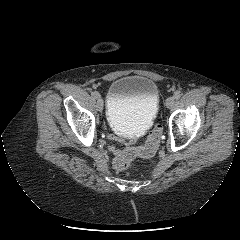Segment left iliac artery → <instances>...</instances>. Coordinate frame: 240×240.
<instances>
[{
    "instance_id": "obj_1",
    "label": "left iliac artery",
    "mask_w": 240,
    "mask_h": 240,
    "mask_svg": "<svg viewBox=\"0 0 240 240\" xmlns=\"http://www.w3.org/2000/svg\"><path fill=\"white\" fill-rule=\"evenodd\" d=\"M182 96V93L180 91H176L174 94L175 99H179Z\"/></svg>"
}]
</instances>
